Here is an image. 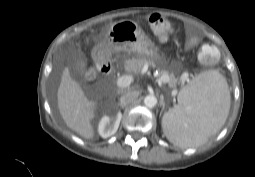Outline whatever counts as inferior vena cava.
Listing matches in <instances>:
<instances>
[{
	"label": "inferior vena cava",
	"instance_id": "obj_1",
	"mask_svg": "<svg viewBox=\"0 0 255 177\" xmlns=\"http://www.w3.org/2000/svg\"><path fill=\"white\" fill-rule=\"evenodd\" d=\"M139 93L136 91H129L124 93L121 98H120V106L121 107H125L131 103H133L137 97H138Z\"/></svg>",
	"mask_w": 255,
	"mask_h": 177
}]
</instances>
